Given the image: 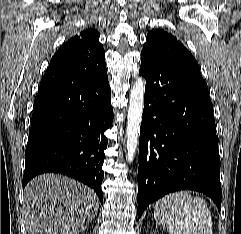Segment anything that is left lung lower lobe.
I'll return each mask as SVG.
<instances>
[{
  "instance_id": "obj_1",
  "label": "left lung lower lobe",
  "mask_w": 241,
  "mask_h": 234,
  "mask_svg": "<svg viewBox=\"0 0 241 234\" xmlns=\"http://www.w3.org/2000/svg\"><path fill=\"white\" fill-rule=\"evenodd\" d=\"M146 79L140 128L138 218L150 203L183 189L209 196L221 209L220 157L213 106L201 76L141 52Z\"/></svg>"
}]
</instances>
